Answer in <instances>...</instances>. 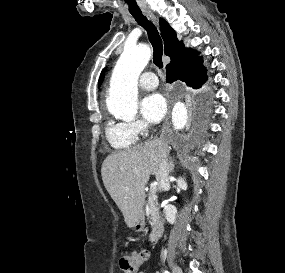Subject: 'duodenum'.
<instances>
[{
  "label": "duodenum",
  "mask_w": 285,
  "mask_h": 273,
  "mask_svg": "<svg viewBox=\"0 0 285 273\" xmlns=\"http://www.w3.org/2000/svg\"><path fill=\"white\" fill-rule=\"evenodd\" d=\"M163 222L159 217H155L152 222L149 240L154 242L163 233Z\"/></svg>",
  "instance_id": "obj_1"
}]
</instances>
